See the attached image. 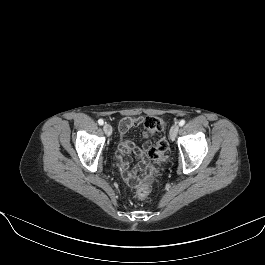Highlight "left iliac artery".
Segmentation results:
<instances>
[{
  "label": "left iliac artery",
  "mask_w": 265,
  "mask_h": 265,
  "mask_svg": "<svg viewBox=\"0 0 265 265\" xmlns=\"http://www.w3.org/2000/svg\"><path fill=\"white\" fill-rule=\"evenodd\" d=\"M184 124H185V120L184 119L180 120L179 126H183Z\"/></svg>",
  "instance_id": "1"
}]
</instances>
